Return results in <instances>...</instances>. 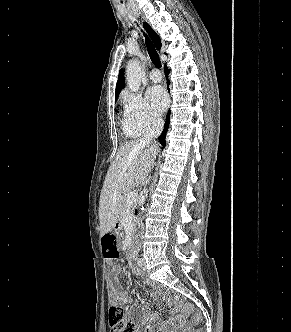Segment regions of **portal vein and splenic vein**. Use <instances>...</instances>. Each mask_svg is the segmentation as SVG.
Wrapping results in <instances>:
<instances>
[{
	"label": "portal vein and splenic vein",
	"instance_id": "18ae733b",
	"mask_svg": "<svg viewBox=\"0 0 291 332\" xmlns=\"http://www.w3.org/2000/svg\"><path fill=\"white\" fill-rule=\"evenodd\" d=\"M136 197H137V192H130L126 195V203L127 204H132L135 200H136Z\"/></svg>",
	"mask_w": 291,
	"mask_h": 332
}]
</instances>
